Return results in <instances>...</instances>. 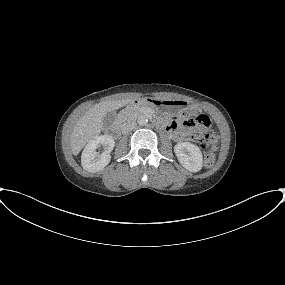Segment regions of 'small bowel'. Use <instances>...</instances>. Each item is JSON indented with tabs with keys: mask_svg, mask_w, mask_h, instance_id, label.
<instances>
[{
	"mask_svg": "<svg viewBox=\"0 0 285 285\" xmlns=\"http://www.w3.org/2000/svg\"><path fill=\"white\" fill-rule=\"evenodd\" d=\"M169 130H171L172 138L176 141H181L184 139L185 134L184 132L178 127V124L175 120L171 121V124L169 126Z\"/></svg>",
	"mask_w": 285,
	"mask_h": 285,
	"instance_id": "1",
	"label": "small bowel"
}]
</instances>
